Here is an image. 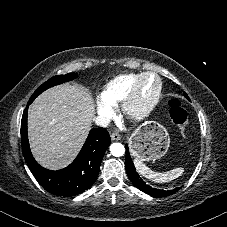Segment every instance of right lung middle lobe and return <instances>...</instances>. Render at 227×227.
I'll return each instance as SVG.
<instances>
[{
	"label": "right lung middle lobe",
	"mask_w": 227,
	"mask_h": 227,
	"mask_svg": "<svg viewBox=\"0 0 227 227\" xmlns=\"http://www.w3.org/2000/svg\"><path fill=\"white\" fill-rule=\"evenodd\" d=\"M77 78V74L76 73H68L65 75H58V76H54L51 79H49L48 81H46L45 83H43L31 96L29 102L32 103L34 101V99L41 94L43 91H45L46 89L53 87L55 85H59L62 84L64 82L67 81H71L73 79Z\"/></svg>",
	"instance_id": "right-lung-middle-lobe-1"
}]
</instances>
